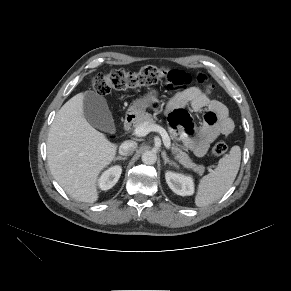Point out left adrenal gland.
<instances>
[{
    "label": "left adrenal gland",
    "mask_w": 291,
    "mask_h": 291,
    "mask_svg": "<svg viewBox=\"0 0 291 291\" xmlns=\"http://www.w3.org/2000/svg\"><path fill=\"white\" fill-rule=\"evenodd\" d=\"M162 158L164 160V165H166L167 163L170 164V165H173L175 167H177V163L173 160H170L168 157H167V154L166 152H162Z\"/></svg>",
    "instance_id": "obj_1"
}]
</instances>
